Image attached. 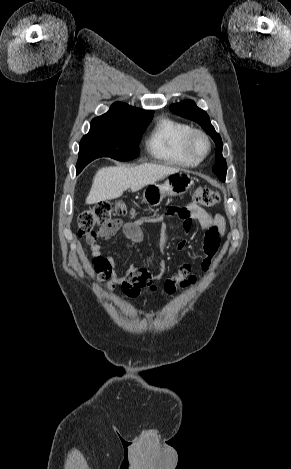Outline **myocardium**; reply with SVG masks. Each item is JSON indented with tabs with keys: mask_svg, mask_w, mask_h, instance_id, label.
I'll return each instance as SVG.
<instances>
[{
	"mask_svg": "<svg viewBox=\"0 0 291 469\" xmlns=\"http://www.w3.org/2000/svg\"><path fill=\"white\" fill-rule=\"evenodd\" d=\"M199 138L204 140V142L206 144V149L203 153L197 152V150L195 148L196 140L199 139ZM184 148H185L186 153L191 158H193L197 161H201L204 158H206L208 156V154L210 153V151H211V141H210L209 136L205 132H203L201 130H198V129H192L185 138Z\"/></svg>",
	"mask_w": 291,
	"mask_h": 469,
	"instance_id": "obj_1",
	"label": "myocardium"
}]
</instances>
